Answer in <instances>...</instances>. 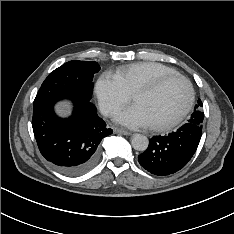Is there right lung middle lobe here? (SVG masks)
Segmentation results:
<instances>
[{
  "label": "right lung middle lobe",
  "instance_id": "right-lung-middle-lobe-1",
  "mask_svg": "<svg viewBox=\"0 0 234 234\" xmlns=\"http://www.w3.org/2000/svg\"><path fill=\"white\" fill-rule=\"evenodd\" d=\"M100 70L94 61L72 60L52 71L44 80L33 107L47 101L72 97L84 101L92 98L93 77Z\"/></svg>",
  "mask_w": 234,
  "mask_h": 234
}]
</instances>
